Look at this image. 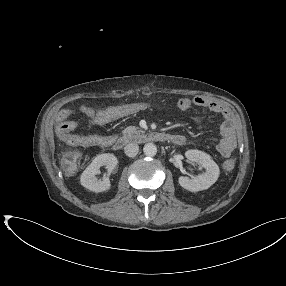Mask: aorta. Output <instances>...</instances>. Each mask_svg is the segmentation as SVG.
Listing matches in <instances>:
<instances>
[{
    "label": "aorta",
    "mask_w": 286,
    "mask_h": 286,
    "mask_svg": "<svg viewBox=\"0 0 286 286\" xmlns=\"http://www.w3.org/2000/svg\"><path fill=\"white\" fill-rule=\"evenodd\" d=\"M143 152L146 156L153 157L157 153V147L153 143H146L144 145Z\"/></svg>",
    "instance_id": "1"
}]
</instances>
